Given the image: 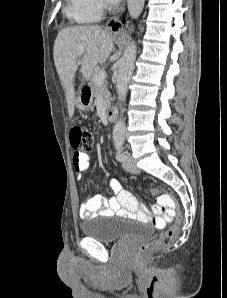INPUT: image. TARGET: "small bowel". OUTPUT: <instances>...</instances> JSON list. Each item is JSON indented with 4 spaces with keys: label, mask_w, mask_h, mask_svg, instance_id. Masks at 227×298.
<instances>
[{
    "label": "small bowel",
    "mask_w": 227,
    "mask_h": 298,
    "mask_svg": "<svg viewBox=\"0 0 227 298\" xmlns=\"http://www.w3.org/2000/svg\"><path fill=\"white\" fill-rule=\"evenodd\" d=\"M73 166L78 180L87 172L89 168V156L85 150H76L73 156ZM110 189L113 196L109 199L101 195L92 196L82 203L80 207V218L89 220L97 216H114L146 218L148 209L144 205H140L134 196L123 190L121 183L116 178L109 181ZM160 211L159 208L155 209ZM168 220L163 219V225Z\"/></svg>",
    "instance_id": "small-bowel-1"
}]
</instances>
